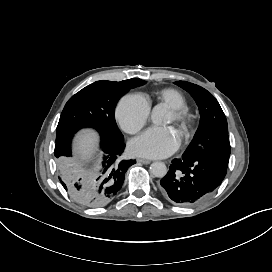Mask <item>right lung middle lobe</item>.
Here are the masks:
<instances>
[{"mask_svg": "<svg viewBox=\"0 0 272 272\" xmlns=\"http://www.w3.org/2000/svg\"><path fill=\"white\" fill-rule=\"evenodd\" d=\"M145 83L138 78L121 82L102 80L83 88L66 103L57 126L56 142L84 127L96 129L109 140H122L114 116L116 104L129 89Z\"/></svg>", "mask_w": 272, "mask_h": 272, "instance_id": "obj_1", "label": "right lung middle lobe"}]
</instances>
